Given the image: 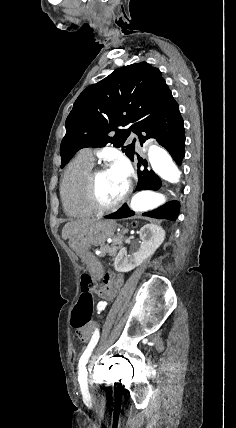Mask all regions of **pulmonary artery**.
Instances as JSON below:
<instances>
[{
	"mask_svg": "<svg viewBox=\"0 0 236 428\" xmlns=\"http://www.w3.org/2000/svg\"><path fill=\"white\" fill-rule=\"evenodd\" d=\"M129 139H130L131 141H135V144H136L137 146H139V145H140V139H139V137H138V136H136V135H131V136L129 137ZM88 152H89V155L92 157V153H91V151L89 150Z\"/></svg>",
	"mask_w": 236,
	"mask_h": 428,
	"instance_id": "e3ab8cb5",
	"label": "pulmonary artery"
}]
</instances>
